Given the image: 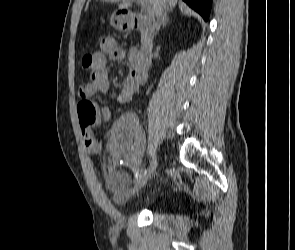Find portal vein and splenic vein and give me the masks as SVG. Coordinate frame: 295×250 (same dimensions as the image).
Instances as JSON below:
<instances>
[{"mask_svg": "<svg viewBox=\"0 0 295 250\" xmlns=\"http://www.w3.org/2000/svg\"><path fill=\"white\" fill-rule=\"evenodd\" d=\"M139 2L141 3V5L144 7V9H145V12L147 13V14H152V9H151V7H150V5L148 4V3H146V2H144V0H139Z\"/></svg>", "mask_w": 295, "mask_h": 250, "instance_id": "18ae733b", "label": "portal vein and splenic vein"}]
</instances>
